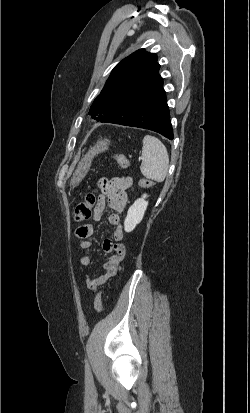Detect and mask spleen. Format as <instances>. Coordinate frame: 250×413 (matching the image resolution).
I'll return each mask as SVG.
<instances>
[{
    "mask_svg": "<svg viewBox=\"0 0 250 413\" xmlns=\"http://www.w3.org/2000/svg\"><path fill=\"white\" fill-rule=\"evenodd\" d=\"M169 168V155L164 144L155 136L143 138L141 173L148 179L163 182Z\"/></svg>",
    "mask_w": 250,
    "mask_h": 413,
    "instance_id": "obj_1",
    "label": "spleen"
}]
</instances>
